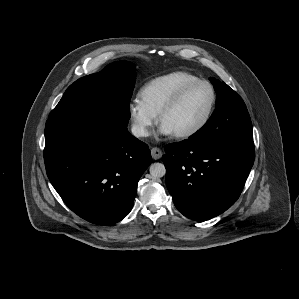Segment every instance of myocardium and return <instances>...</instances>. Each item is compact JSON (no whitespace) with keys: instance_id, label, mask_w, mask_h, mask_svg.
<instances>
[{"instance_id":"1","label":"myocardium","mask_w":299,"mask_h":299,"mask_svg":"<svg viewBox=\"0 0 299 299\" xmlns=\"http://www.w3.org/2000/svg\"><path fill=\"white\" fill-rule=\"evenodd\" d=\"M197 85H206L210 90L211 99H210L208 109H207L203 119L196 126H194L193 128H191L187 131L173 134L174 137L177 139H187V138L193 137V136L197 135L199 132H201L206 127V125L208 124V122L211 119V116L213 114V111H214V108L216 105V100H217L216 91H215L213 85L209 81L204 80V79H197V80H194V81H191V82L185 84L165 104V106L161 109V111L158 115V121L160 124H162L164 117L178 105V103L181 101V99L184 97V95L191 88H193Z\"/></svg>"}]
</instances>
